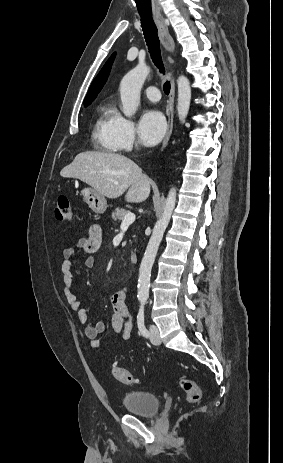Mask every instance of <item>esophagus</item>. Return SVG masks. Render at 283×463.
Here are the masks:
<instances>
[{"label":"esophagus","mask_w":283,"mask_h":463,"mask_svg":"<svg viewBox=\"0 0 283 463\" xmlns=\"http://www.w3.org/2000/svg\"><path fill=\"white\" fill-rule=\"evenodd\" d=\"M154 21L158 27L162 46L165 49V51L169 54V57H168L169 63H173V59H171V55H174L175 43L168 29L169 22L162 15H155ZM169 76H170L171 88H170V94H169V99L167 102V110H166L167 117H168V126H167V132H166L165 138L162 143L161 151H163L165 147L167 146L168 141L173 131L175 81H174V75L172 72L169 73Z\"/></svg>","instance_id":"esophagus-1"}]
</instances>
